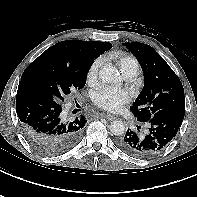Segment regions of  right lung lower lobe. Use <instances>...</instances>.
<instances>
[{
	"mask_svg": "<svg viewBox=\"0 0 197 197\" xmlns=\"http://www.w3.org/2000/svg\"><path fill=\"white\" fill-rule=\"evenodd\" d=\"M16 112L27 138L51 154L71 149L79 141L87 122L82 115L68 120L62 104L46 89L25 82L18 86Z\"/></svg>",
	"mask_w": 197,
	"mask_h": 197,
	"instance_id": "98d812e1",
	"label": "right lung lower lobe"
}]
</instances>
